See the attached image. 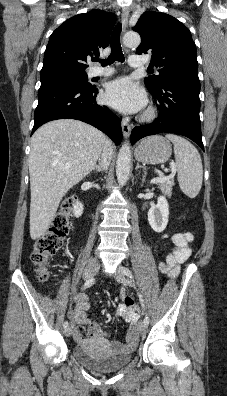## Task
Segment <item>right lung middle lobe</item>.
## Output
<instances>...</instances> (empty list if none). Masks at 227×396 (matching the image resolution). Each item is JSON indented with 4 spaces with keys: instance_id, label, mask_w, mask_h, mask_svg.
Returning <instances> with one entry per match:
<instances>
[{
    "instance_id": "right-lung-middle-lobe-1",
    "label": "right lung middle lobe",
    "mask_w": 227,
    "mask_h": 396,
    "mask_svg": "<svg viewBox=\"0 0 227 396\" xmlns=\"http://www.w3.org/2000/svg\"><path fill=\"white\" fill-rule=\"evenodd\" d=\"M41 84L54 81H67L84 87H91L85 70L68 68H53L42 70L40 74Z\"/></svg>"
}]
</instances>
